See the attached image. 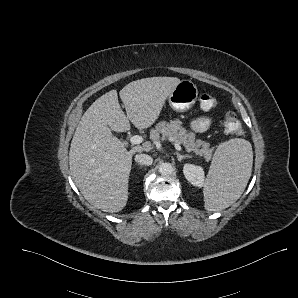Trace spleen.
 <instances>
[{
    "label": "spleen",
    "mask_w": 298,
    "mask_h": 298,
    "mask_svg": "<svg viewBox=\"0 0 298 298\" xmlns=\"http://www.w3.org/2000/svg\"><path fill=\"white\" fill-rule=\"evenodd\" d=\"M253 150L249 141L233 138L218 145L203 184L204 208L221 211L236 202L251 177Z\"/></svg>",
    "instance_id": "obj_1"
}]
</instances>
